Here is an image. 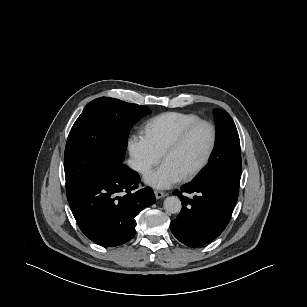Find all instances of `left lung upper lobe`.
<instances>
[{
    "label": "left lung upper lobe",
    "instance_id": "obj_1",
    "mask_svg": "<svg viewBox=\"0 0 307 307\" xmlns=\"http://www.w3.org/2000/svg\"><path fill=\"white\" fill-rule=\"evenodd\" d=\"M217 140L214 154L202 175L196 180H217L239 193L241 178L240 140L231 116L221 110H215Z\"/></svg>",
    "mask_w": 307,
    "mask_h": 307
}]
</instances>
